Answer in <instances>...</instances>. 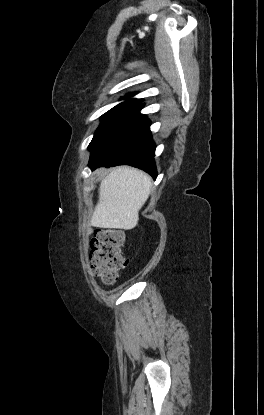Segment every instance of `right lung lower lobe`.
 <instances>
[{
  "label": "right lung lower lobe",
  "mask_w": 264,
  "mask_h": 415,
  "mask_svg": "<svg viewBox=\"0 0 264 415\" xmlns=\"http://www.w3.org/2000/svg\"><path fill=\"white\" fill-rule=\"evenodd\" d=\"M143 104L117 121L89 150V167L131 165L149 173L154 179L157 171L154 161L155 143L150 132V121L140 113Z\"/></svg>",
  "instance_id": "obj_1"
}]
</instances>
